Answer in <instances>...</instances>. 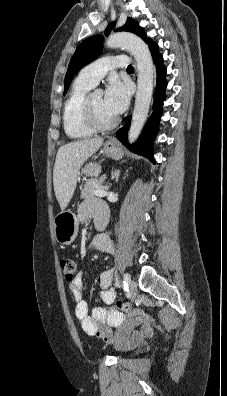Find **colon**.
I'll list each match as a JSON object with an SVG mask.
<instances>
[{"label": "colon", "instance_id": "obj_1", "mask_svg": "<svg viewBox=\"0 0 227 396\" xmlns=\"http://www.w3.org/2000/svg\"><path fill=\"white\" fill-rule=\"evenodd\" d=\"M61 269L64 274L65 280L71 282L75 278V274L77 271V262L69 257H65L61 259ZM122 301H116L114 307L120 309L123 307Z\"/></svg>", "mask_w": 227, "mask_h": 396}]
</instances>
